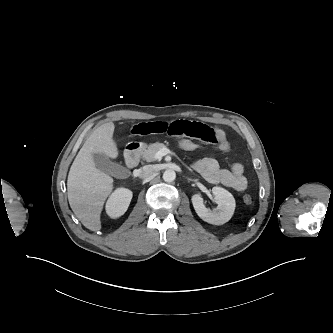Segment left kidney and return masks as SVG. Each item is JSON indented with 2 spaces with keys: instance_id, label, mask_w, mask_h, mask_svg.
I'll return each mask as SVG.
<instances>
[{
  "instance_id": "left-kidney-1",
  "label": "left kidney",
  "mask_w": 333,
  "mask_h": 333,
  "mask_svg": "<svg viewBox=\"0 0 333 333\" xmlns=\"http://www.w3.org/2000/svg\"><path fill=\"white\" fill-rule=\"evenodd\" d=\"M212 193L217 203L216 209L211 210L206 208L200 194L192 196V204L197 215L202 220L210 224L222 225L228 222L233 216L236 206L235 199L230 192L221 187H213Z\"/></svg>"
}]
</instances>
